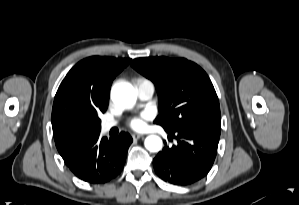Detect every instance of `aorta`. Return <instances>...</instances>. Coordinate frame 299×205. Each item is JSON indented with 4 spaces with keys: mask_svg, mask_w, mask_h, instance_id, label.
<instances>
[{
    "mask_svg": "<svg viewBox=\"0 0 299 205\" xmlns=\"http://www.w3.org/2000/svg\"><path fill=\"white\" fill-rule=\"evenodd\" d=\"M112 100L123 108H131L137 99L135 89L130 83L115 84L111 90ZM145 148L150 152H158L162 149V140L156 135H150L145 139Z\"/></svg>",
    "mask_w": 299,
    "mask_h": 205,
    "instance_id": "aorta-1",
    "label": "aorta"
}]
</instances>
